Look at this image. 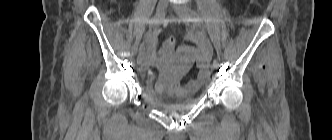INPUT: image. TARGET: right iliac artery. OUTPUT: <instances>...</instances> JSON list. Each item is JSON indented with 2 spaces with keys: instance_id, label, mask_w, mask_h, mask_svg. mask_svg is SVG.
<instances>
[{
  "instance_id": "1",
  "label": "right iliac artery",
  "mask_w": 332,
  "mask_h": 140,
  "mask_svg": "<svg viewBox=\"0 0 332 140\" xmlns=\"http://www.w3.org/2000/svg\"><path fill=\"white\" fill-rule=\"evenodd\" d=\"M160 22V18L158 16H154L150 21H149V25L146 29V31L144 32L143 35V41L146 42L147 46L152 38L153 35V28L155 25H157Z\"/></svg>"
}]
</instances>
